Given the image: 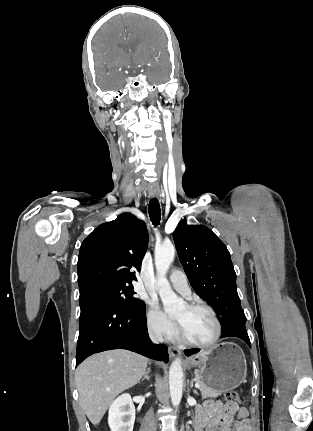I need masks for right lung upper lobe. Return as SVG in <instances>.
<instances>
[{
  "label": "right lung upper lobe",
  "instance_id": "cb5924a9",
  "mask_svg": "<svg viewBox=\"0 0 313 431\" xmlns=\"http://www.w3.org/2000/svg\"><path fill=\"white\" fill-rule=\"evenodd\" d=\"M147 245L146 225L134 215L124 213L99 225L80 247L77 266L80 298L102 288L132 285Z\"/></svg>",
  "mask_w": 313,
  "mask_h": 431
}]
</instances>
